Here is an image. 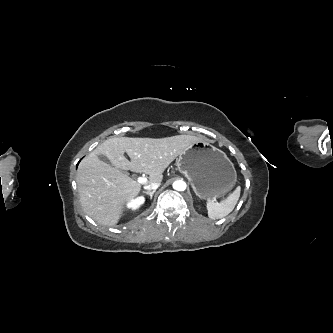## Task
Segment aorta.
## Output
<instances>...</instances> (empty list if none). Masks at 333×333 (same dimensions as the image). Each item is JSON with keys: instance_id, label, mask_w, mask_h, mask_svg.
<instances>
[{"instance_id": "1", "label": "aorta", "mask_w": 333, "mask_h": 333, "mask_svg": "<svg viewBox=\"0 0 333 333\" xmlns=\"http://www.w3.org/2000/svg\"><path fill=\"white\" fill-rule=\"evenodd\" d=\"M173 188L177 191H184L186 189V183L183 180L175 181Z\"/></svg>"}]
</instances>
